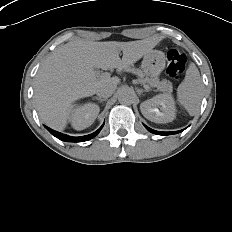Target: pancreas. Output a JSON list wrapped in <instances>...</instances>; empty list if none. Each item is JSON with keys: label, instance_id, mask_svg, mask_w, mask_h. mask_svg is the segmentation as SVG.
<instances>
[{"label": "pancreas", "instance_id": "cf45deb5", "mask_svg": "<svg viewBox=\"0 0 232 232\" xmlns=\"http://www.w3.org/2000/svg\"><path fill=\"white\" fill-rule=\"evenodd\" d=\"M144 81H146L150 85H154V86H157L159 88H162V85L164 84V82H160L158 78L145 79ZM167 90H171V86L170 85H169V88H167Z\"/></svg>", "mask_w": 232, "mask_h": 232}]
</instances>
